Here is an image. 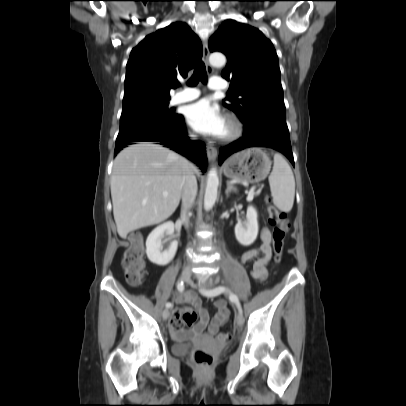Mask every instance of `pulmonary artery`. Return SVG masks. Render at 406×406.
Returning a JSON list of instances; mask_svg holds the SVG:
<instances>
[{"label": "pulmonary artery", "mask_w": 406, "mask_h": 406, "mask_svg": "<svg viewBox=\"0 0 406 406\" xmlns=\"http://www.w3.org/2000/svg\"><path fill=\"white\" fill-rule=\"evenodd\" d=\"M228 83L225 79L220 77H212L209 81V88L215 91L225 90ZM200 96V92L195 88H185L180 92L173 95L171 99L172 105L182 104L195 100Z\"/></svg>", "instance_id": "1"}]
</instances>
